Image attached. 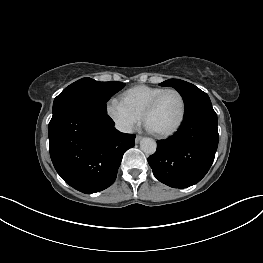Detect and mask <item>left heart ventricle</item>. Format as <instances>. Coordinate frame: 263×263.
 Masks as SVG:
<instances>
[{"instance_id":"left-heart-ventricle-1","label":"left heart ventricle","mask_w":263,"mask_h":263,"mask_svg":"<svg viewBox=\"0 0 263 263\" xmlns=\"http://www.w3.org/2000/svg\"><path fill=\"white\" fill-rule=\"evenodd\" d=\"M181 114V101L174 92L166 93L156 108L148 116V127L156 132H163L172 128Z\"/></svg>"}]
</instances>
